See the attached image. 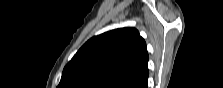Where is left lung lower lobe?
Returning <instances> with one entry per match:
<instances>
[{
	"label": "left lung lower lobe",
	"mask_w": 223,
	"mask_h": 88,
	"mask_svg": "<svg viewBox=\"0 0 223 88\" xmlns=\"http://www.w3.org/2000/svg\"><path fill=\"white\" fill-rule=\"evenodd\" d=\"M136 88H147V79L140 83Z\"/></svg>",
	"instance_id": "0a47b994"
}]
</instances>
